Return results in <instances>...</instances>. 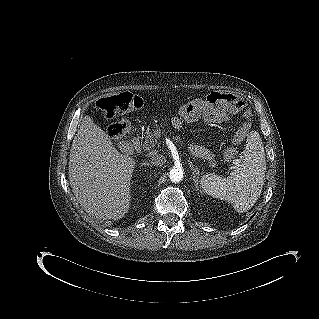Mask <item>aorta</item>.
I'll return each mask as SVG.
<instances>
[{"label":"aorta","instance_id":"aorta-1","mask_svg":"<svg viewBox=\"0 0 319 319\" xmlns=\"http://www.w3.org/2000/svg\"><path fill=\"white\" fill-rule=\"evenodd\" d=\"M169 179L174 182L178 183L183 179V170L181 167H173L169 172Z\"/></svg>","mask_w":319,"mask_h":319}]
</instances>
